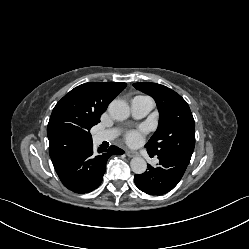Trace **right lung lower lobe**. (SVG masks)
<instances>
[{
	"label": "right lung lower lobe",
	"mask_w": 249,
	"mask_h": 249,
	"mask_svg": "<svg viewBox=\"0 0 249 249\" xmlns=\"http://www.w3.org/2000/svg\"><path fill=\"white\" fill-rule=\"evenodd\" d=\"M116 146L108 150L93 152V144L86 146L60 171L57 172L63 185L75 193H86L96 189L102 182L107 159L113 154H123Z\"/></svg>",
	"instance_id": "obj_1"
}]
</instances>
